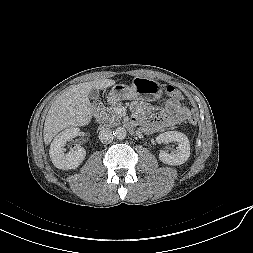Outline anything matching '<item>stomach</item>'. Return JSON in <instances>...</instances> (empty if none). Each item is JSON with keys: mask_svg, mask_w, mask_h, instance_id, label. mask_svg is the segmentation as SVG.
Returning a JSON list of instances; mask_svg holds the SVG:
<instances>
[{"mask_svg": "<svg viewBox=\"0 0 253 253\" xmlns=\"http://www.w3.org/2000/svg\"><path fill=\"white\" fill-rule=\"evenodd\" d=\"M163 93V86L150 78L135 77L130 86L117 84L110 91L107 101L110 104L118 103L122 100H158Z\"/></svg>", "mask_w": 253, "mask_h": 253, "instance_id": "stomach-1", "label": "stomach"}]
</instances>
